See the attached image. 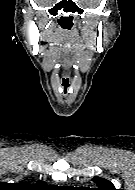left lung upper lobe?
Returning <instances> with one entry per match:
<instances>
[{"instance_id": "5c2ea615", "label": "left lung upper lobe", "mask_w": 135, "mask_h": 190, "mask_svg": "<svg viewBox=\"0 0 135 190\" xmlns=\"http://www.w3.org/2000/svg\"><path fill=\"white\" fill-rule=\"evenodd\" d=\"M92 180L100 187L97 190H117L113 183L105 178L94 177Z\"/></svg>"}]
</instances>
